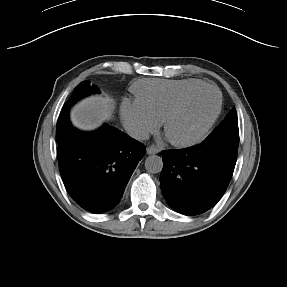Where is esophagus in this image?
<instances>
[{"label":"esophagus","mask_w":287,"mask_h":287,"mask_svg":"<svg viewBox=\"0 0 287 287\" xmlns=\"http://www.w3.org/2000/svg\"><path fill=\"white\" fill-rule=\"evenodd\" d=\"M146 151L147 154H157L160 150L156 146L152 145L147 147Z\"/></svg>","instance_id":"34e87169"}]
</instances>
